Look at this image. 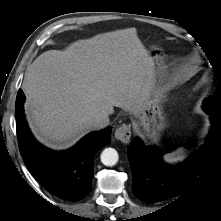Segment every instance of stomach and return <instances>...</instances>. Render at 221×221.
<instances>
[{
	"label": "stomach",
	"instance_id": "obj_1",
	"mask_svg": "<svg viewBox=\"0 0 221 221\" xmlns=\"http://www.w3.org/2000/svg\"><path fill=\"white\" fill-rule=\"evenodd\" d=\"M154 61L158 65V71L161 73L165 70L163 64L164 56L160 49L153 48L150 52ZM167 90L163 86H155L145 101L142 110L137 114L139 123L147 137L153 142H158L165 128L167 127V119L163 104L166 101Z\"/></svg>",
	"mask_w": 221,
	"mask_h": 221
}]
</instances>
